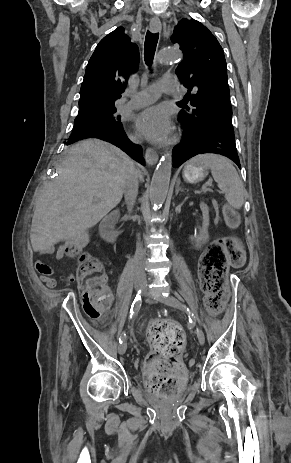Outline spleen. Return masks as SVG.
Listing matches in <instances>:
<instances>
[{
  "label": "spleen",
  "instance_id": "obj_1",
  "mask_svg": "<svg viewBox=\"0 0 291 463\" xmlns=\"http://www.w3.org/2000/svg\"><path fill=\"white\" fill-rule=\"evenodd\" d=\"M190 163H201L209 167L218 187L224 192L228 204L235 209L242 207L245 188L236 169L228 159L215 154H202L191 159Z\"/></svg>",
  "mask_w": 291,
  "mask_h": 463
}]
</instances>
